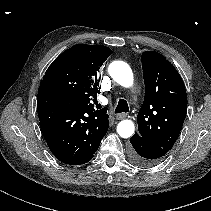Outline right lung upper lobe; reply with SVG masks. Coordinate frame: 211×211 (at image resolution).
<instances>
[{
	"instance_id": "obj_1",
	"label": "right lung upper lobe",
	"mask_w": 211,
	"mask_h": 211,
	"mask_svg": "<svg viewBox=\"0 0 211 211\" xmlns=\"http://www.w3.org/2000/svg\"><path fill=\"white\" fill-rule=\"evenodd\" d=\"M110 54L103 45H74L49 66L40 86L72 95L88 111L107 118V109L95 110L91 101L100 93L99 70Z\"/></svg>"
}]
</instances>
